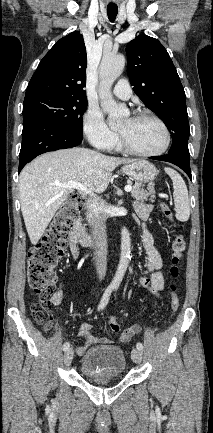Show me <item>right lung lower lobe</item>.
<instances>
[{"mask_svg":"<svg viewBox=\"0 0 213 433\" xmlns=\"http://www.w3.org/2000/svg\"><path fill=\"white\" fill-rule=\"evenodd\" d=\"M23 119L19 172L29 161L42 153L75 147L82 142L83 136L71 133L50 120L38 116Z\"/></svg>","mask_w":213,"mask_h":433,"instance_id":"right-lung-lower-lobe-1","label":"right lung lower lobe"}]
</instances>
